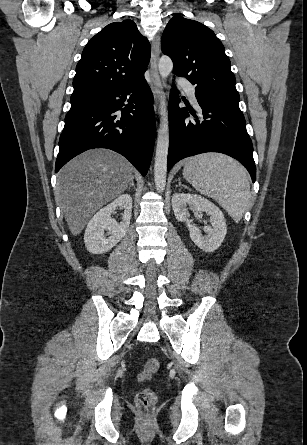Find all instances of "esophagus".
I'll list each match as a JSON object with an SVG mask.
<instances>
[{"instance_id":"obj_1","label":"esophagus","mask_w":307,"mask_h":445,"mask_svg":"<svg viewBox=\"0 0 307 445\" xmlns=\"http://www.w3.org/2000/svg\"><path fill=\"white\" fill-rule=\"evenodd\" d=\"M160 56V36L155 35L152 41V57L150 68L151 89L155 99V110L158 111L159 101L163 96L162 85L158 74L157 62Z\"/></svg>"}]
</instances>
